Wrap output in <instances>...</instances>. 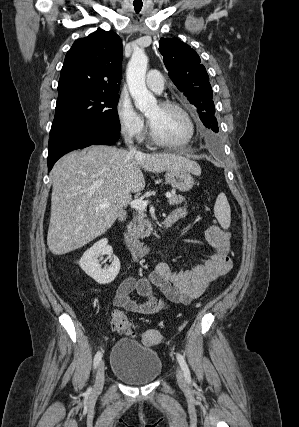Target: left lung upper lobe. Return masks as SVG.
I'll return each mask as SVG.
<instances>
[{
    "mask_svg": "<svg viewBox=\"0 0 299 427\" xmlns=\"http://www.w3.org/2000/svg\"><path fill=\"white\" fill-rule=\"evenodd\" d=\"M159 51L173 83L196 107L203 124L217 133L212 87L199 55L177 38H161Z\"/></svg>",
    "mask_w": 299,
    "mask_h": 427,
    "instance_id": "1",
    "label": "left lung upper lobe"
}]
</instances>
